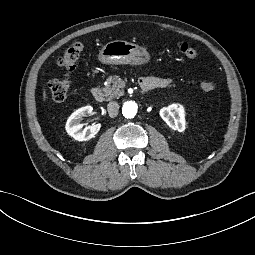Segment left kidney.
Instances as JSON below:
<instances>
[{"instance_id": "5707ae66", "label": "left kidney", "mask_w": 255, "mask_h": 255, "mask_svg": "<svg viewBox=\"0 0 255 255\" xmlns=\"http://www.w3.org/2000/svg\"><path fill=\"white\" fill-rule=\"evenodd\" d=\"M161 118L173 130L182 132L185 129L184 111L180 105H170L160 111Z\"/></svg>"}]
</instances>
